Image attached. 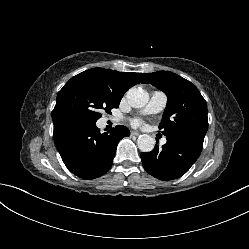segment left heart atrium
I'll return each mask as SVG.
<instances>
[{"instance_id": "1", "label": "left heart atrium", "mask_w": 249, "mask_h": 249, "mask_svg": "<svg viewBox=\"0 0 249 249\" xmlns=\"http://www.w3.org/2000/svg\"><path fill=\"white\" fill-rule=\"evenodd\" d=\"M135 123H136V124H139V122H138V121H136Z\"/></svg>"}]
</instances>
